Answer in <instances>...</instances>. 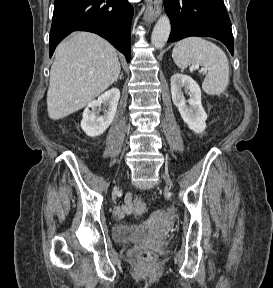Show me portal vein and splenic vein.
Returning a JSON list of instances; mask_svg holds the SVG:
<instances>
[{
	"label": "portal vein and splenic vein",
	"mask_w": 273,
	"mask_h": 288,
	"mask_svg": "<svg viewBox=\"0 0 273 288\" xmlns=\"http://www.w3.org/2000/svg\"><path fill=\"white\" fill-rule=\"evenodd\" d=\"M195 69H198V66L197 65H194L191 67V70H195ZM205 69L204 68H201L200 72H204Z\"/></svg>",
	"instance_id": "portal-vein-and-splenic-vein-1"
}]
</instances>
